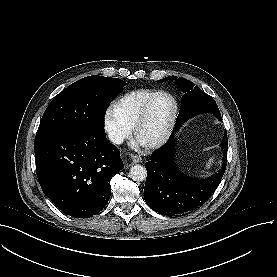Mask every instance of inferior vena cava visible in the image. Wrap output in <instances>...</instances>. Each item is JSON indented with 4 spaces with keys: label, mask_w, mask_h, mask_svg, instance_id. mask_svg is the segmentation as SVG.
Returning <instances> with one entry per match:
<instances>
[{
    "label": "inferior vena cava",
    "mask_w": 277,
    "mask_h": 277,
    "mask_svg": "<svg viewBox=\"0 0 277 277\" xmlns=\"http://www.w3.org/2000/svg\"><path fill=\"white\" fill-rule=\"evenodd\" d=\"M109 140L114 144H122L123 143V136L117 131H109L108 133Z\"/></svg>",
    "instance_id": "602c4592"
}]
</instances>
